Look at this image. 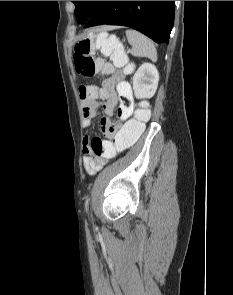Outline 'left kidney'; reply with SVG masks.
I'll use <instances>...</instances> for the list:
<instances>
[{
	"label": "left kidney",
	"instance_id": "5707ae66",
	"mask_svg": "<svg viewBox=\"0 0 233 295\" xmlns=\"http://www.w3.org/2000/svg\"><path fill=\"white\" fill-rule=\"evenodd\" d=\"M159 72L151 63H143L133 77V90L137 99L152 98L157 90Z\"/></svg>",
	"mask_w": 233,
	"mask_h": 295
}]
</instances>
